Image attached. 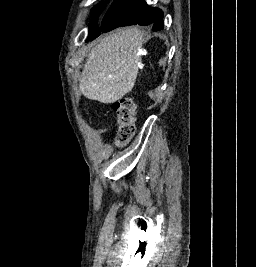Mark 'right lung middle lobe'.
<instances>
[{
	"label": "right lung middle lobe",
	"instance_id": "1",
	"mask_svg": "<svg viewBox=\"0 0 256 267\" xmlns=\"http://www.w3.org/2000/svg\"><path fill=\"white\" fill-rule=\"evenodd\" d=\"M143 0H114L110 7L103 13L100 22L93 21L90 25L89 40H93L100 35V32H108L114 29V26L134 8H136ZM104 5H97L93 9V14L98 16Z\"/></svg>",
	"mask_w": 256,
	"mask_h": 267
}]
</instances>
